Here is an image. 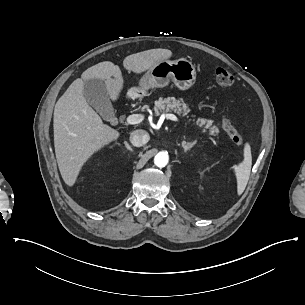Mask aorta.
I'll list each match as a JSON object with an SVG mask.
<instances>
[{"mask_svg":"<svg viewBox=\"0 0 305 305\" xmlns=\"http://www.w3.org/2000/svg\"><path fill=\"white\" fill-rule=\"evenodd\" d=\"M168 161H169V156L164 151L157 153L156 156L154 157V164L159 168L165 167L168 164Z\"/></svg>","mask_w":305,"mask_h":305,"instance_id":"1","label":"aorta"}]
</instances>
